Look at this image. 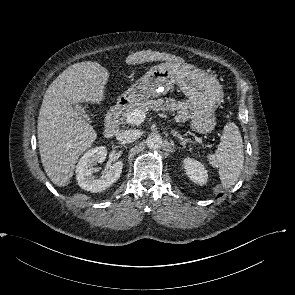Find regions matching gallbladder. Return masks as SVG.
<instances>
[{"mask_svg": "<svg viewBox=\"0 0 295 295\" xmlns=\"http://www.w3.org/2000/svg\"><path fill=\"white\" fill-rule=\"evenodd\" d=\"M76 110L83 116H85V111L84 109L79 105V104H75Z\"/></svg>", "mask_w": 295, "mask_h": 295, "instance_id": "1", "label": "gallbladder"}]
</instances>
